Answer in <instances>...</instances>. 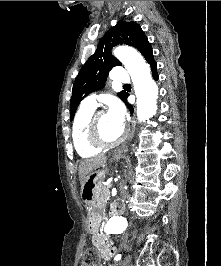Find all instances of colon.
<instances>
[{"label": "colon", "mask_w": 221, "mask_h": 266, "mask_svg": "<svg viewBox=\"0 0 221 266\" xmlns=\"http://www.w3.org/2000/svg\"><path fill=\"white\" fill-rule=\"evenodd\" d=\"M99 254L94 248L87 249L82 258V266H98Z\"/></svg>", "instance_id": "colon-1"}]
</instances>
